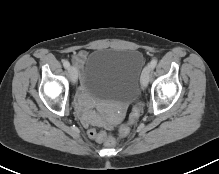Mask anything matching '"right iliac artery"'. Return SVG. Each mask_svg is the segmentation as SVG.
<instances>
[{
  "instance_id": "1",
  "label": "right iliac artery",
  "mask_w": 219,
  "mask_h": 174,
  "mask_svg": "<svg viewBox=\"0 0 219 174\" xmlns=\"http://www.w3.org/2000/svg\"><path fill=\"white\" fill-rule=\"evenodd\" d=\"M63 66H64L66 69H68L69 66H70V63H69L67 60H64V61H63Z\"/></svg>"
}]
</instances>
